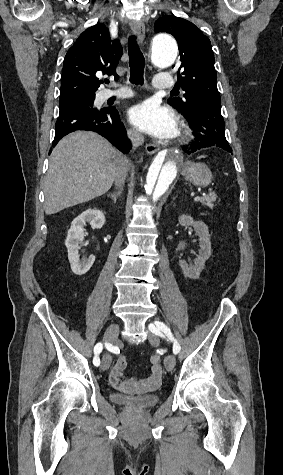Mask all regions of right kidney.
Here are the masks:
<instances>
[{
	"label": "right kidney",
	"mask_w": 283,
	"mask_h": 475,
	"mask_svg": "<svg viewBox=\"0 0 283 475\" xmlns=\"http://www.w3.org/2000/svg\"><path fill=\"white\" fill-rule=\"evenodd\" d=\"M86 222H89L91 228H102L105 224V216L101 210H85L80 216L74 218L70 230H68L67 238L65 239V245L68 251V259L70 261L71 269L73 273L77 275H83L95 261V255H89V257H83L80 259L79 249L81 241L84 239V226Z\"/></svg>",
	"instance_id": "1"
}]
</instances>
